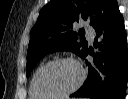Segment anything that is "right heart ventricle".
I'll return each instance as SVG.
<instances>
[{
	"label": "right heart ventricle",
	"mask_w": 128,
	"mask_h": 99,
	"mask_svg": "<svg viewBox=\"0 0 128 99\" xmlns=\"http://www.w3.org/2000/svg\"><path fill=\"white\" fill-rule=\"evenodd\" d=\"M29 97L31 99H39L40 96H38L34 91H33V88H32V81L30 83V88H29Z\"/></svg>",
	"instance_id": "obj_1"
}]
</instances>
